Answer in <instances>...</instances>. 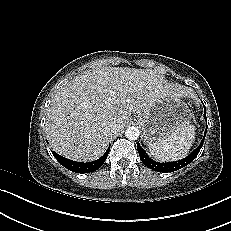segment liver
<instances>
[{"label":"liver","instance_id":"1","mask_svg":"<svg viewBox=\"0 0 231 231\" xmlns=\"http://www.w3.org/2000/svg\"><path fill=\"white\" fill-rule=\"evenodd\" d=\"M188 93L152 70L98 68L76 76L56 92L47 110L46 137L64 157L93 161L103 155L113 136L108 126L119 132L131 114L141 115L163 98Z\"/></svg>","mask_w":231,"mask_h":231}]
</instances>
